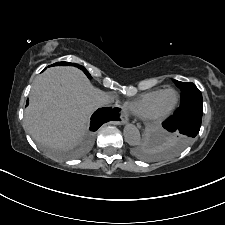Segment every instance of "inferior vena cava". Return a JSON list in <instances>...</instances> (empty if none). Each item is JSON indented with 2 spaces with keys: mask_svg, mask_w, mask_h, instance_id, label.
I'll return each mask as SVG.
<instances>
[{
  "mask_svg": "<svg viewBox=\"0 0 225 225\" xmlns=\"http://www.w3.org/2000/svg\"><path fill=\"white\" fill-rule=\"evenodd\" d=\"M113 98L109 95H102L96 98L95 105L96 107H107L113 103Z\"/></svg>",
  "mask_w": 225,
  "mask_h": 225,
  "instance_id": "602c4592",
  "label": "inferior vena cava"
}]
</instances>
